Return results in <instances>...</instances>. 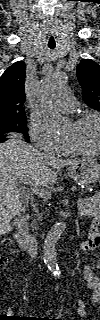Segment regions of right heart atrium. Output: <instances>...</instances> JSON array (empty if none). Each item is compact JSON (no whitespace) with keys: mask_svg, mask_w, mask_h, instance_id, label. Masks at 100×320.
<instances>
[{"mask_svg":"<svg viewBox=\"0 0 100 320\" xmlns=\"http://www.w3.org/2000/svg\"><path fill=\"white\" fill-rule=\"evenodd\" d=\"M28 133L33 144L40 150L47 153H57L62 139L54 134L41 122L31 121L28 125Z\"/></svg>","mask_w":100,"mask_h":320,"instance_id":"right-heart-atrium-1","label":"right heart atrium"}]
</instances>
